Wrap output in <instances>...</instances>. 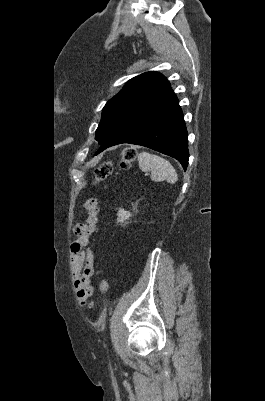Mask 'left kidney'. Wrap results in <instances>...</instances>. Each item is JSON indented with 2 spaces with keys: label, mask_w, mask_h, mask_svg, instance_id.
Instances as JSON below:
<instances>
[{
  "label": "left kidney",
  "mask_w": 265,
  "mask_h": 401,
  "mask_svg": "<svg viewBox=\"0 0 265 401\" xmlns=\"http://www.w3.org/2000/svg\"><path fill=\"white\" fill-rule=\"evenodd\" d=\"M138 203H135V207H137ZM117 223H124V221H128L129 217H132L129 211H124V209H119L117 213Z\"/></svg>",
  "instance_id": "obj_1"
}]
</instances>
